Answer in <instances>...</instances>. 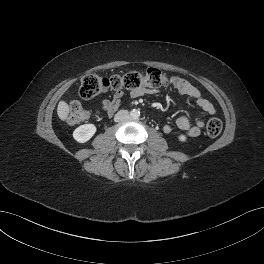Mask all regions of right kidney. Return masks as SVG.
Instances as JSON below:
<instances>
[{"label":"right kidney","instance_id":"obj_1","mask_svg":"<svg viewBox=\"0 0 264 264\" xmlns=\"http://www.w3.org/2000/svg\"><path fill=\"white\" fill-rule=\"evenodd\" d=\"M96 130L97 129L95 125L84 124L74 130L73 137L77 142L85 143L92 138Z\"/></svg>","mask_w":264,"mask_h":264}]
</instances>
